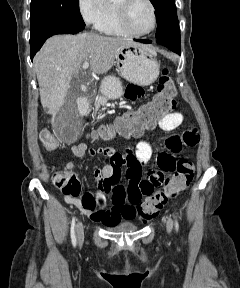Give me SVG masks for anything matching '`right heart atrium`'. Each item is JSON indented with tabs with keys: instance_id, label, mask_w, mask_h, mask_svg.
Listing matches in <instances>:
<instances>
[{
	"instance_id": "d8ad5b80",
	"label": "right heart atrium",
	"mask_w": 240,
	"mask_h": 288,
	"mask_svg": "<svg viewBox=\"0 0 240 288\" xmlns=\"http://www.w3.org/2000/svg\"><path fill=\"white\" fill-rule=\"evenodd\" d=\"M80 13L88 24L100 27L111 12L109 0H78Z\"/></svg>"
}]
</instances>
